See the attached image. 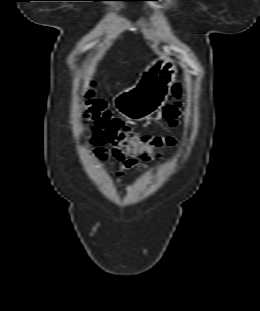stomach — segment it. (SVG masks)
Wrapping results in <instances>:
<instances>
[{"mask_svg": "<svg viewBox=\"0 0 260 311\" xmlns=\"http://www.w3.org/2000/svg\"><path fill=\"white\" fill-rule=\"evenodd\" d=\"M176 73L175 61L161 55L141 73L133 87L113 98L116 110L129 120L141 121L150 117L167 101Z\"/></svg>", "mask_w": 260, "mask_h": 311, "instance_id": "obj_1", "label": "stomach"}]
</instances>
